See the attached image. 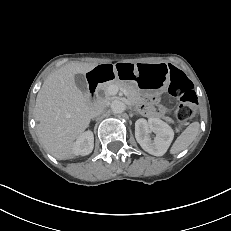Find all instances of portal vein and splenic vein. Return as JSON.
Masks as SVG:
<instances>
[{"instance_id":"portal-vein-and-splenic-vein-1","label":"portal vein and splenic vein","mask_w":231,"mask_h":231,"mask_svg":"<svg viewBox=\"0 0 231 231\" xmlns=\"http://www.w3.org/2000/svg\"><path fill=\"white\" fill-rule=\"evenodd\" d=\"M118 91H119V88L116 85H112V86L109 87V94L110 95H115V94L118 93ZM122 91H123V93L125 95H127V91L126 90H122Z\"/></svg>"}]
</instances>
